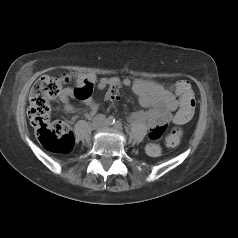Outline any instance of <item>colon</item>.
<instances>
[{
	"mask_svg": "<svg viewBox=\"0 0 238 238\" xmlns=\"http://www.w3.org/2000/svg\"><path fill=\"white\" fill-rule=\"evenodd\" d=\"M69 79V75L62 78L43 76L36 82L30 93L28 109L30 122L39 138L56 152H66L71 146V137L66 124L60 121H51V102L63 93V83L69 81ZM176 83L178 84L175 92L179 96L180 108L177 110L174 120L177 124L182 125L193 117L196 101L188 82L179 81ZM172 89L174 88L172 87ZM89 91L91 92V85ZM74 94L78 98L77 90L74 91ZM117 95V92L112 90L108 93V98L115 99ZM165 131L166 127L164 125L154 126L149 133L150 140L160 139ZM181 137L182 130L179 127L173 128L166 138V145L168 147L177 146ZM146 150L151 156H158L161 151L157 144H149Z\"/></svg>",
	"mask_w": 238,
	"mask_h": 238,
	"instance_id": "5ec220e1",
	"label": "colon"
}]
</instances>
